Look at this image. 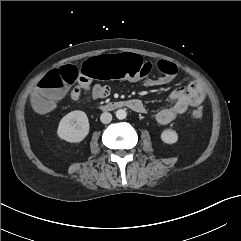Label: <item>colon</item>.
Listing matches in <instances>:
<instances>
[{
  "label": "colon",
  "mask_w": 241,
  "mask_h": 241,
  "mask_svg": "<svg viewBox=\"0 0 241 241\" xmlns=\"http://www.w3.org/2000/svg\"><path fill=\"white\" fill-rule=\"evenodd\" d=\"M85 76L102 80H111L119 77L142 78L152 70V64L144 61L133 54H105L103 56H92L83 61L81 66ZM157 69L174 77L178 73L177 66L169 61L160 60ZM78 77V71L72 66L55 69L47 73L38 83L37 90L32 98V104L36 111L46 112L59 100L66 89L70 87ZM203 110L200 107L192 111V117L200 119Z\"/></svg>",
  "instance_id": "obj_1"
}]
</instances>
